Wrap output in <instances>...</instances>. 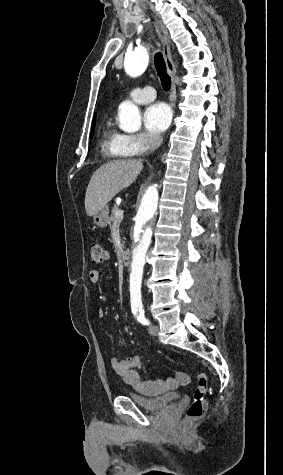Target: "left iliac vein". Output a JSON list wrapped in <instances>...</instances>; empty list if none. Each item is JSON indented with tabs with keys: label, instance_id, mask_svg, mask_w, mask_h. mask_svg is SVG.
Returning a JSON list of instances; mask_svg holds the SVG:
<instances>
[{
	"label": "left iliac vein",
	"instance_id": "1",
	"mask_svg": "<svg viewBox=\"0 0 283 475\" xmlns=\"http://www.w3.org/2000/svg\"><path fill=\"white\" fill-rule=\"evenodd\" d=\"M158 330H159V328H158L156 325H150V326L148 327V332H149V334H151L152 336H156L157 333H158Z\"/></svg>",
	"mask_w": 283,
	"mask_h": 475
}]
</instances>
